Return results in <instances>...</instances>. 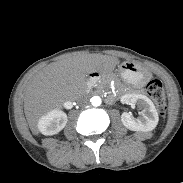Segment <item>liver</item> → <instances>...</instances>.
<instances>
[{"mask_svg": "<svg viewBox=\"0 0 183 183\" xmlns=\"http://www.w3.org/2000/svg\"><path fill=\"white\" fill-rule=\"evenodd\" d=\"M119 59L101 54H76L50 63L38 71L24 89V112L34 135H38V121L46 113L60 109L75 92L85 88L88 74L107 73Z\"/></svg>", "mask_w": 183, "mask_h": 183, "instance_id": "liver-1", "label": "liver"}]
</instances>
